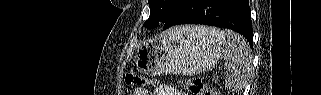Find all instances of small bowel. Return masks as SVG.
Here are the masks:
<instances>
[{
  "instance_id": "c3829d8e",
  "label": "small bowel",
  "mask_w": 321,
  "mask_h": 95,
  "mask_svg": "<svg viewBox=\"0 0 321 95\" xmlns=\"http://www.w3.org/2000/svg\"><path fill=\"white\" fill-rule=\"evenodd\" d=\"M147 91L143 89H137L135 91V95H149ZM156 95H185L184 92L179 91L175 87L169 86V85H162L158 87Z\"/></svg>"
}]
</instances>
